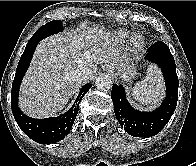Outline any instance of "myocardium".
<instances>
[{"label":"myocardium","mask_w":196,"mask_h":166,"mask_svg":"<svg viewBox=\"0 0 196 166\" xmlns=\"http://www.w3.org/2000/svg\"><path fill=\"white\" fill-rule=\"evenodd\" d=\"M132 42L136 48H142L145 44V39L137 34L132 37Z\"/></svg>","instance_id":"obj_1"}]
</instances>
